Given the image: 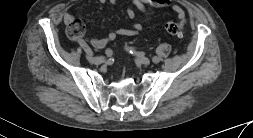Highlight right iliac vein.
<instances>
[{
	"instance_id": "obj_1",
	"label": "right iliac vein",
	"mask_w": 253,
	"mask_h": 138,
	"mask_svg": "<svg viewBox=\"0 0 253 138\" xmlns=\"http://www.w3.org/2000/svg\"><path fill=\"white\" fill-rule=\"evenodd\" d=\"M87 58L91 63H94V64H99L105 61L104 56H97V57L87 56Z\"/></svg>"
}]
</instances>
